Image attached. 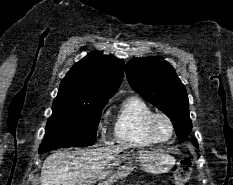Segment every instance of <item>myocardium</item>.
<instances>
[{
    "label": "myocardium",
    "mask_w": 233,
    "mask_h": 185,
    "mask_svg": "<svg viewBox=\"0 0 233 185\" xmlns=\"http://www.w3.org/2000/svg\"><path fill=\"white\" fill-rule=\"evenodd\" d=\"M158 118H162L168 122L169 127H170V136L168 138H161L158 136L155 130V123ZM146 127H147L148 134L158 143H164V142L171 140L175 133L174 123L172 119L163 112H153L147 119Z\"/></svg>",
    "instance_id": "f54148a6"
}]
</instances>
